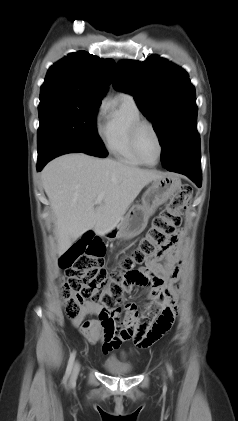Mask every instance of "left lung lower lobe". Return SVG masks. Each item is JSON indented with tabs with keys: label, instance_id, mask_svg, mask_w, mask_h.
I'll use <instances>...</instances> for the list:
<instances>
[{
	"label": "left lung lower lobe",
	"instance_id": "obj_1",
	"mask_svg": "<svg viewBox=\"0 0 238 421\" xmlns=\"http://www.w3.org/2000/svg\"><path fill=\"white\" fill-rule=\"evenodd\" d=\"M168 171L184 174L201 186L200 144L166 167Z\"/></svg>",
	"mask_w": 238,
	"mask_h": 421
}]
</instances>
